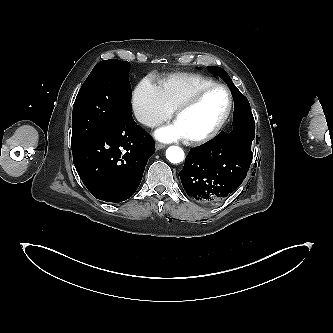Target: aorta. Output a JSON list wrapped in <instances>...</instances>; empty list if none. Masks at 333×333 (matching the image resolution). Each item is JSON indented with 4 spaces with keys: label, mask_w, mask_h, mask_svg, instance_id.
Segmentation results:
<instances>
[{
    "label": "aorta",
    "mask_w": 333,
    "mask_h": 333,
    "mask_svg": "<svg viewBox=\"0 0 333 333\" xmlns=\"http://www.w3.org/2000/svg\"><path fill=\"white\" fill-rule=\"evenodd\" d=\"M166 158L173 164L184 160V151L178 146H170L166 150Z\"/></svg>",
    "instance_id": "obj_1"
}]
</instances>
